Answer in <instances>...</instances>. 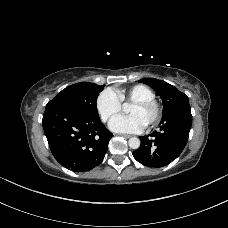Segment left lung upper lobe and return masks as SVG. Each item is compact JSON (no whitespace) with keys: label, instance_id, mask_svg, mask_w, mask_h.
I'll return each mask as SVG.
<instances>
[{"label":"left lung upper lobe","instance_id":"5c2ea615","mask_svg":"<svg viewBox=\"0 0 228 228\" xmlns=\"http://www.w3.org/2000/svg\"><path fill=\"white\" fill-rule=\"evenodd\" d=\"M139 81L152 87L162 98V118L168 115H173L175 122H179L181 120V107L189 105V100L186 94L180 92L171 84L155 78H144Z\"/></svg>","mask_w":228,"mask_h":228}]
</instances>
